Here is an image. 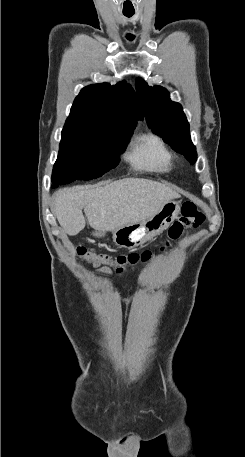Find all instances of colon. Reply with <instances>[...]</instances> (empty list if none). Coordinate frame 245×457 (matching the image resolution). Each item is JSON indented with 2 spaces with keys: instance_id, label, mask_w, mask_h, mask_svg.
Instances as JSON below:
<instances>
[{
  "instance_id": "5ec220e1",
  "label": "colon",
  "mask_w": 245,
  "mask_h": 457,
  "mask_svg": "<svg viewBox=\"0 0 245 457\" xmlns=\"http://www.w3.org/2000/svg\"><path fill=\"white\" fill-rule=\"evenodd\" d=\"M204 219L205 216L199 210L196 203L190 201L185 202L182 205L179 219L169 228L168 240L160 247L159 251H165V249L169 248L174 241L180 239L192 229L202 224ZM76 251L81 258L112 266L118 274H122L127 270L135 268L139 264L148 262L154 254L153 251L145 250L142 252L122 254L113 258L105 254H95L89 252L83 246H78Z\"/></svg>"
}]
</instances>
